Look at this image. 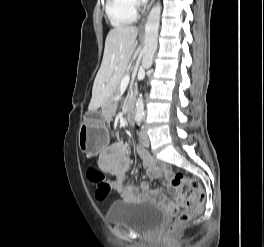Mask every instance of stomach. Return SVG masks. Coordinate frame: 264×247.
Returning a JSON list of instances; mask_svg holds the SVG:
<instances>
[{"label": "stomach", "mask_w": 264, "mask_h": 247, "mask_svg": "<svg viewBox=\"0 0 264 247\" xmlns=\"http://www.w3.org/2000/svg\"><path fill=\"white\" fill-rule=\"evenodd\" d=\"M109 133L104 115L86 119L79 128V147L88 154H98L107 144Z\"/></svg>", "instance_id": "1"}]
</instances>
